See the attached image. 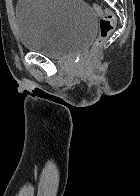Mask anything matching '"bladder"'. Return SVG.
Segmentation results:
<instances>
[{
	"label": "bladder",
	"mask_w": 140,
	"mask_h": 196,
	"mask_svg": "<svg viewBox=\"0 0 140 196\" xmlns=\"http://www.w3.org/2000/svg\"><path fill=\"white\" fill-rule=\"evenodd\" d=\"M15 22L21 45L50 59L83 51L98 30L97 13L83 0H19Z\"/></svg>",
	"instance_id": "1"
}]
</instances>
